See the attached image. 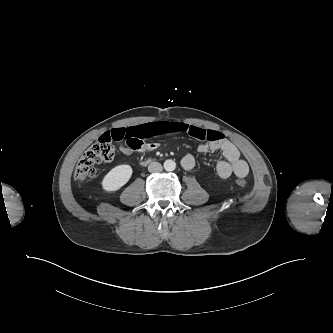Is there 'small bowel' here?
<instances>
[{
	"label": "small bowel",
	"mask_w": 333,
	"mask_h": 333,
	"mask_svg": "<svg viewBox=\"0 0 333 333\" xmlns=\"http://www.w3.org/2000/svg\"><path fill=\"white\" fill-rule=\"evenodd\" d=\"M182 133L188 134L196 139L204 140L197 151L201 154L220 151L224 160L217 163V174L223 178H229L232 174L244 178L249 173L247 162L241 158L237 147L231 143L225 136L214 130H207L201 127L181 123V122H152L126 128H117L104 133L110 141L122 143L120 150L130 155L134 151L148 152L157 149L160 143L152 140L154 137L164 134ZM195 158L192 154H186L181 160L182 167L185 170H192L195 166Z\"/></svg>",
	"instance_id": "1"
}]
</instances>
